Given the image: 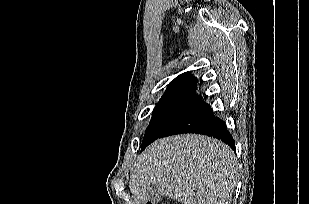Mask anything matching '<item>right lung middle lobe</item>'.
<instances>
[{"mask_svg": "<svg viewBox=\"0 0 309 204\" xmlns=\"http://www.w3.org/2000/svg\"><path fill=\"white\" fill-rule=\"evenodd\" d=\"M195 107H197L195 104L190 103H158L153 110L141 148L144 149L156 140L166 129Z\"/></svg>", "mask_w": 309, "mask_h": 204, "instance_id": "dd1d6c3e", "label": "right lung middle lobe"}]
</instances>
